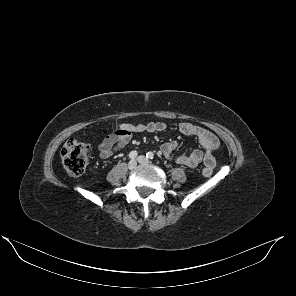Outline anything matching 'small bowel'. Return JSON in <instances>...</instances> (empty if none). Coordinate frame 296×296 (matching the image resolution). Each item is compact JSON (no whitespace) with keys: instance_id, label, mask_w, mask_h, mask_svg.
Instances as JSON below:
<instances>
[{"instance_id":"1","label":"small bowel","mask_w":296,"mask_h":296,"mask_svg":"<svg viewBox=\"0 0 296 296\" xmlns=\"http://www.w3.org/2000/svg\"><path fill=\"white\" fill-rule=\"evenodd\" d=\"M165 129L166 124L163 122L122 123L112 132L104 128L103 140L98 145L99 155L102 159H109L114 153L129 144L134 134L162 132ZM179 130L186 136L195 137L203 150L194 149L187 154L179 155L175 158L176 163L194 168L203 161L205 165L213 168L216 164L214 153L219 147L217 137L212 132L191 122H181L179 124ZM177 148L178 143L176 141H170L161 146V152L164 156L171 157Z\"/></svg>"}]
</instances>
